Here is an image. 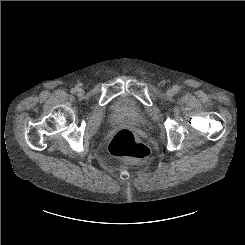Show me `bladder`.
<instances>
[{
  "instance_id": "obj_1",
  "label": "bladder",
  "mask_w": 245,
  "mask_h": 245,
  "mask_svg": "<svg viewBox=\"0 0 245 245\" xmlns=\"http://www.w3.org/2000/svg\"><path fill=\"white\" fill-rule=\"evenodd\" d=\"M109 113L114 118L129 119L136 122H140L145 119V114L142 108L128 97H120L112 102Z\"/></svg>"
}]
</instances>
